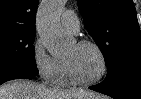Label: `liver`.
I'll use <instances>...</instances> for the list:
<instances>
[{
	"instance_id": "1",
	"label": "liver",
	"mask_w": 141,
	"mask_h": 99,
	"mask_svg": "<svg viewBox=\"0 0 141 99\" xmlns=\"http://www.w3.org/2000/svg\"><path fill=\"white\" fill-rule=\"evenodd\" d=\"M0 99H103L93 91H62L29 80H12L0 86Z\"/></svg>"
}]
</instances>
